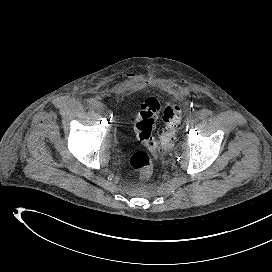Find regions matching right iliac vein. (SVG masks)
Returning a JSON list of instances; mask_svg holds the SVG:
<instances>
[{"label":"right iliac vein","instance_id":"right-iliac-vein-1","mask_svg":"<svg viewBox=\"0 0 272 272\" xmlns=\"http://www.w3.org/2000/svg\"><path fill=\"white\" fill-rule=\"evenodd\" d=\"M96 109H97V111H98L99 113H104V112H105V107H104V105L101 104V103H98V106L96 107Z\"/></svg>","mask_w":272,"mask_h":272}]
</instances>
